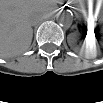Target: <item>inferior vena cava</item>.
Masks as SVG:
<instances>
[{"mask_svg": "<svg viewBox=\"0 0 103 103\" xmlns=\"http://www.w3.org/2000/svg\"><path fill=\"white\" fill-rule=\"evenodd\" d=\"M41 19V15H33L32 17H31V21L32 20H40Z\"/></svg>", "mask_w": 103, "mask_h": 103, "instance_id": "obj_1", "label": "inferior vena cava"}]
</instances>
